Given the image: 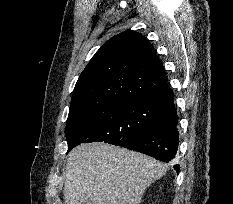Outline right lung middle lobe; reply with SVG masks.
Instances as JSON below:
<instances>
[{
    "mask_svg": "<svg viewBox=\"0 0 233 204\" xmlns=\"http://www.w3.org/2000/svg\"><path fill=\"white\" fill-rule=\"evenodd\" d=\"M162 117L152 97L122 100L91 111L66 126L68 152L82 142L104 141L115 144L122 138L143 134L156 128Z\"/></svg>",
    "mask_w": 233,
    "mask_h": 204,
    "instance_id": "1",
    "label": "right lung middle lobe"
}]
</instances>
